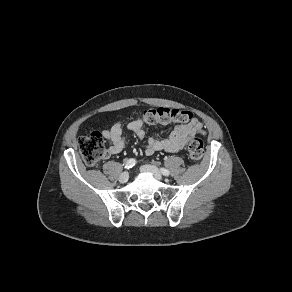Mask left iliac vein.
Listing matches in <instances>:
<instances>
[{"label": "left iliac vein", "instance_id": "left-iliac-vein-1", "mask_svg": "<svg viewBox=\"0 0 292 292\" xmlns=\"http://www.w3.org/2000/svg\"><path fill=\"white\" fill-rule=\"evenodd\" d=\"M141 171L148 172V173L153 174V176L157 180H162L163 179V176H162L160 170L156 166H153V165H143V166H141Z\"/></svg>", "mask_w": 292, "mask_h": 292}]
</instances>
